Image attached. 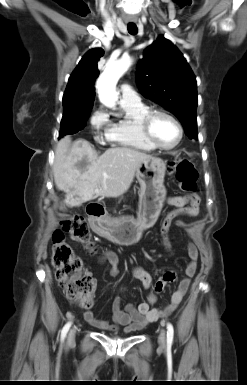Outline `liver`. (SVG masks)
Returning a JSON list of instances; mask_svg holds the SVG:
<instances>
[{
  "instance_id": "obj_1",
  "label": "liver",
  "mask_w": 247,
  "mask_h": 385,
  "mask_svg": "<svg viewBox=\"0 0 247 385\" xmlns=\"http://www.w3.org/2000/svg\"><path fill=\"white\" fill-rule=\"evenodd\" d=\"M150 157L127 147L110 148L98 156L88 141L72 143L65 136L55 150L54 181L66 193L64 203L70 207L98 196L119 197L129 189L139 164Z\"/></svg>"
}]
</instances>
